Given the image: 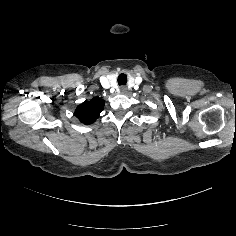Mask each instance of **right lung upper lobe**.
Listing matches in <instances>:
<instances>
[{
	"label": "right lung upper lobe",
	"instance_id": "right-lung-upper-lobe-1",
	"mask_svg": "<svg viewBox=\"0 0 236 236\" xmlns=\"http://www.w3.org/2000/svg\"><path fill=\"white\" fill-rule=\"evenodd\" d=\"M104 103V100L99 97L85 101L76 108L75 116L84 124H92L99 117L104 108Z\"/></svg>",
	"mask_w": 236,
	"mask_h": 236
}]
</instances>
